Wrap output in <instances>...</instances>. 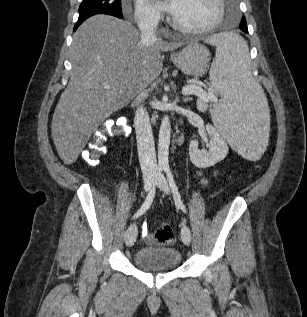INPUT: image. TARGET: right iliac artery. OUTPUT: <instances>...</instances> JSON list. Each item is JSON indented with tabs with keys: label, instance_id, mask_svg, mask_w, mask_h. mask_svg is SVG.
<instances>
[{
	"label": "right iliac artery",
	"instance_id": "1",
	"mask_svg": "<svg viewBox=\"0 0 307 317\" xmlns=\"http://www.w3.org/2000/svg\"><path fill=\"white\" fill-rule=\"evenodd\" d=\"M162 167H158L157 172H156V176H155V182L153 183L143 205L141 206V208L136 212V214L134 215V218H137L139 216H141L143 213H145L149 207L151 206L155 193H156V186L158 184V181L162 175Z\"/></svg>",
	"mask_w": 307,
	"mask_h": 317
}]
</instances>
